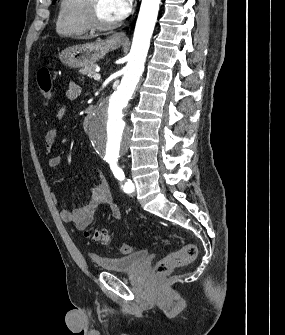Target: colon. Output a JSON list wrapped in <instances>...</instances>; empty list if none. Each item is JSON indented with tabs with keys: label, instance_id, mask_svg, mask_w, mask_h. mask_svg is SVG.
Here are the masks:
<instances>
[{
	"label": "colon",
	"instance_id": "5ec220e1",
	"mask_svg": "<svg viewBox=\"0 0 285 335\" xmlns=\"http://www.w3.org/2000/svg\"><path fill=\"white\" fill-rule=\"evenodd\" d=\"M37 81L44 105H48L53 94L52 76L50 69L43 66L38 70ZM91 238L102 244L110 241V234L104 229H94L89 234ZM164 243H168V239H163ZM119 251L122 254H128L132 248L128 244H121ZM197 256V247L194 244H185L180 250L172 252L161 258L154 267L155 275L164 276L170 273L174 268L190 264Z\"/></svg>",
	"mask_w": 285,
	"mask_h": 335
}]
</instances>
